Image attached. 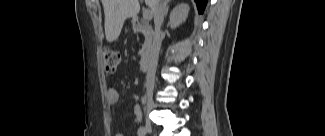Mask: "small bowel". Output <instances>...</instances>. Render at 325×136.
I'll list each match as a JSON object with an SVG mask.
<instances>
[{
  "label": "small bowel",
  "mask_w": 325,
  "mask_h": 136,
  "mask_svg": "<svg viewBox=\"0 0 325 136\" xmlns=\"http://www.w3.org/2000/svg\"><path fill=\"white\" fill-rule=\"evenodd\" d=\"M119 99V93L118 91L113 88L109 87L108 90L106 91V102L109 105H113L118 102ZM135 100H138V96H134ZM132 113L135 119V122H139L142 119V110L138 105H133L132 106ZM117 136H122V134H117Z\"/></svg>",
  "instance_id": "c3829d8e"
}]
</instances>
